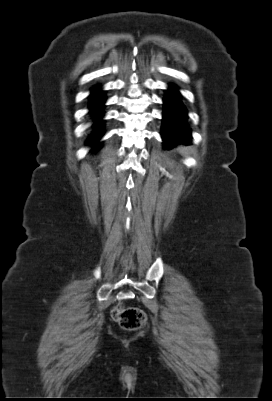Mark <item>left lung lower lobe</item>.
Returning a JSON list of instances; mask_svg holds the SVG:
<instances>
[{
  "instance_id": "1",
  "label": "left lung lower lobe",
  "mask_w": 272,
  "mask_h": 401,
  "mask_svg": "<svg viewBox=\"0 0 272 401\" xmlns=\"http://www.w3.org/2000/svg\"><path fill=\"white\" fill-rule=\"evenodd\" d=\"M162 138L165 148L178 143H191L190 129L186 122V110L175 87L166 91L164 98Z\"/></svg>"
}]
</instances>
